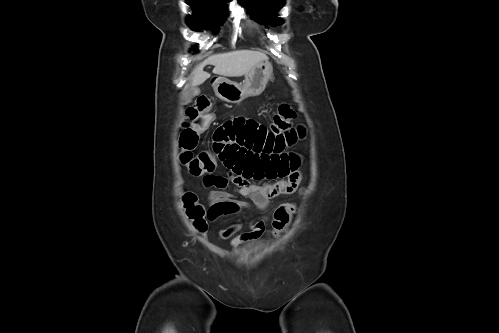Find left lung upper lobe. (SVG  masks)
I'll return each mask as SVG.
<instances>
[{
    "label": "left lung upper lobe",
    "instance_id": "obj_1",
    "mask_svg": "<svg viewBox=\"0 0 499 333\" xmlns=\"http://www.w3.org/2000/svg\"><path fill=\"white\" fill-rule=\"evenodd\" d=\"M245 4L252 16L259 23L281 25L282 19L277 17V11L284 5V0H239Z\"/></svg>",
    "mask_w": 499,
    "mask_h": 333
}]
</instances>
